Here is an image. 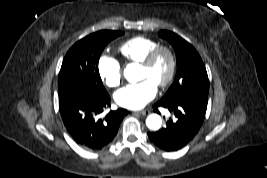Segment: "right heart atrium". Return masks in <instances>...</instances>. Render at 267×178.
Returning a JSON list of instances; mask_svg holds the SVG:
<instances>
[{"label": "right heart atrium", "mask_w": 267, "mask_h": 178, "mask_svg": "<svg viewBox=\"0 0 267 178\" xmlns=\"http://www.w3.org/2000/svg\"><path fill=\"white\" fill-rule=\"evenodd\" d=\"M98 73L103 83L109 88L117 87L122 80V69L112 56L102 54L98 60Z\"/></svg>", "instance_id": "obj_1"}]
</instances>
